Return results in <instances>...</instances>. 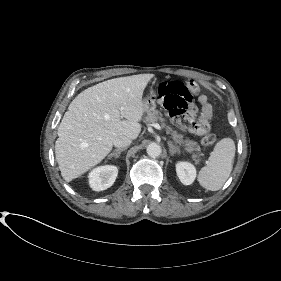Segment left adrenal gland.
Segmentation results:
<instances>
[{
	"label": "left adrenal gland",
	"instance_id": "1",
	"mask_svg": "<svg viewBox=\"0 0 281 281\" xmlns=\"http://www.w3.org/2000/svg\"><path fill=\"white\" fill-rule=\"evenodd\" d=\"M168 146H169V151H170V155L174 156V154H180V149L173 145V143L171 141H168Z\"/></svg>",
	"mask_w": 281,
	"mask_h": 281
}]
</instances>
